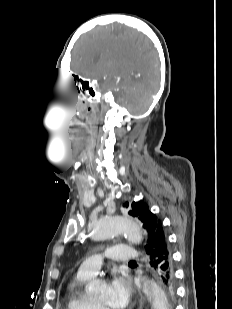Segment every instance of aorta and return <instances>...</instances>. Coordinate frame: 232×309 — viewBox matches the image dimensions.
I'll list each match as a JSON object with an SVG mask.
<instances>
[{
  "label": "aorta",
  "instance_id": "obj_1",
  "mask_svg": "<svg viewBox=\"0 0 232 309\" xmlns=\"http://www.w3.org/2000/svg\"><path fill=\"white\" fill-rule=\"evenodd\" d=\"M92 239L99 241L119 234H125L127 239L134 243H141L142 231L139 224L127 217L110 216L102 218L91 226ZM103 283L93 280L89 283V290L98 292L102 289ZM143 293L151 304L152 309H170L164 291L153 280L144 279Z\"/></svg>",
  "mask_w": 232,
  "mask_h": 309
}]
</instances>
